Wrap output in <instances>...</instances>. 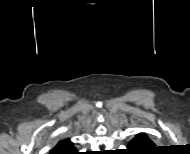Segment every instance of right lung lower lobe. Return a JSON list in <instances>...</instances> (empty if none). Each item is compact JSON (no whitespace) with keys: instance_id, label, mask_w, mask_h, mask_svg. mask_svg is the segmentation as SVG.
Segmentation results:
<instances>
[{"instance_id":"obj_1","label":"right lung lower lobe","mask_w":190,"mask_h":154,"mask_svg":"<svg viewBox=\"0 0 190 154\" xmlns=\"http://www.w3.org/2000/svg\"><path fill=\"white\" fill-rule=\"evenodd\" d=\"M60 154H77V151H76V149H74V150H70V151L61 152Z\"/></svg>"}]
</instances>
